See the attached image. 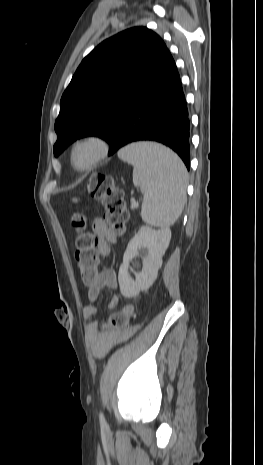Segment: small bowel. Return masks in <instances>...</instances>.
I'll return each mask as SVG.
<instances>
[{
    "label": "small bowel",
    "mask_w": 263,
    "mask_h": 465,
    "mask_svg": "<svg viewBox=\"0 0 263 465\" xmlns=\"http://www.w3.org/2000/svg\"><path fill=\"white\" fill-rule=\"evenodd\" d=\"M93 231L96 236L97 253L100 256H108L110 254V244L116 241V238L109 227L102 219H97L93 224ZM117 275L113 269H104L100 272L96 282L88 289L89 303L83 309V315L86 318H92L97 314L95 302L98 299L102 289L117 288ZM119 297L113 295L108 302V309L113 310L118 306ZM143 326L142 322L134 325V329L130 331H99L95 327L88 328L87 333L90 341L91 349L94 355L98 358L105 356L115 345L122 342L129 335L135 334L136 330H140Z\"/></svg>",
    "instance_id": "1"
}]
</instances>
